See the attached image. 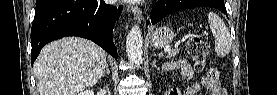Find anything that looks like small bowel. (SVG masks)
I'll return each instance as SVG.
<instances>
[{
	"label": "small bowel",
	"instance_id": "obj_1",
	"mask_svg": "<svg viewBox=\"0 0 277 95\" xmlns=\"http://www.w3.org/2000/svg\"><path fill=\"white\" fill-rule=\"evenodd\" d=\"M174 66L181 65V77L183 79H191L195 76V71L193 65L185 60L175 61ZM206 87L212 91V95H225V91L218 84L210 83L209 76L205 77ZM200 87L198 85H191L187 87L184 92H181L178 88H171L165 94L167 95H197L200 94Z\"/></svg>",
	"mask_w": 277,
	"mask_h": 95
}]
</instances>
